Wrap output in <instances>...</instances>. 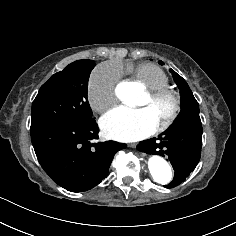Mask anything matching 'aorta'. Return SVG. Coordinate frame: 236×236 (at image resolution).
<instances>
[{"label":"aorta","instance_id":"762f6f07","mask_svg":"<svg viewBox=\"0 0 236 236\" xmlns=\"http://www.w3.org/2000/svg\"><path fill=\"white\" fill-rule=\"evenodd\" d=\"M123 98L129 104H134L136 94L129 89L123 90ZM148 168L155 182L165 185L172 180V170L169 163L159 155H151L148 160Z\"/></svg>","mask_w":236,"mask_h":236}]
</instances>
